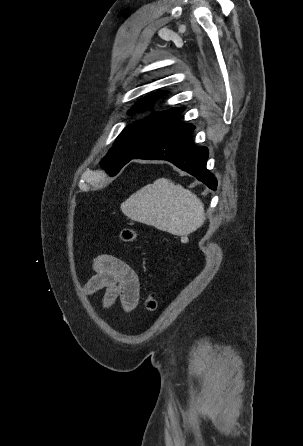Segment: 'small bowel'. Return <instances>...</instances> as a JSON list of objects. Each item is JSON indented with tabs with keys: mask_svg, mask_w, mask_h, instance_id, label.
Segmentation results:
<instances>
[{
	"mask_svg": "<svg viewBox=\"0 0 303 446\" xmlns=\"http://www.w3.org/2000/svg\"><path fill=\"white\" fill-rule=\"evenodd\" d=\"M94 275L86 285L93 293L105 290L104 304L112 305L119 300L126 311L133 310L139 301L140 284L134 268L123 259L110 253L96 256L92 262Z\"/></svg>",
	"mask_w": 303,
	"mask_h": 446,
	"instance_id": "c3829d8e",
	"label": "small bowel"
}]
</instances>
